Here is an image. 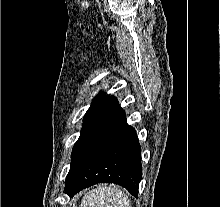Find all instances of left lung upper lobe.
Listing matches in <instances>:
<instances>
[{
    "instance_id": "obj_1",
    "label": "left lung upper lobe",
    "mask_w": 220,
    "mask_h": 207,
    "mask_svg": "<svg viewBox=\"0 0 220 207\" xmlns=\"http://www.w3.org/2000/svg\"><path fill=\"white\" fill-rule=\"evenodd\" d=\"M105 94H100L98 97L94 99L92 105L88 109L87 113L84 116V119L90 114V112L98 105V103L104 98Z\"/></svg>"
}]
</instances>
